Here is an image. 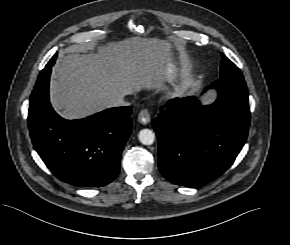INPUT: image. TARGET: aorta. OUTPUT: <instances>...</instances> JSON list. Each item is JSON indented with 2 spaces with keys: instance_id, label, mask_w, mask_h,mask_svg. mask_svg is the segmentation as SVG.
<instances>
[{
  "instance_id": "aorta-1",
  "label": "aorta",
  "mask_w": 290,
  "mask_h": 245,
  "mask_svg": "<svg viewBox=\"0 0 290 245\" xmlns=\"http://www.w3.org/2000/svg\"><path fill=\"white\" fill-rule=\"evenodd\" d=\"M139 141L144 145H151L155 140V133L150 129H142L138 134Z\"/></svg>"
}]
</instances>
